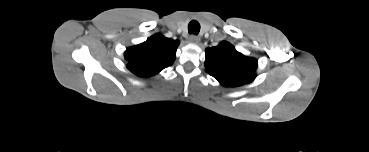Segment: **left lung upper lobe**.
<instances>
[{
    "label": "left lung upper lobe",
    "instance_id": "obj_1",
    "mask_svg": "<svg viewBox=\"0 0 369 152\" xmlns=\"http://www.w3.org/2000/svg\"><path fill=\"white\" fill-rule=\"evenodd\" d=\"M205 70L223 86H240L256 78L257 60L239 53L234 46L222 41L205 51Z\"/></svg>",
    "mask_w": 369,
    "mask_h": 152
}]
</instances>
